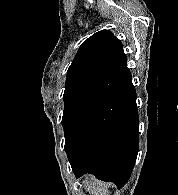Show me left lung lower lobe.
<instances>
[{
    "mask_svg": "<svg viewBox=\"0 0 178 195\" xmlns=\"http://www.w3.org/2000/svg\"><path fill=\"white\" fill-rule=\"evenodd\" d=\"M138 111L132 82L65 146L76 178L90 173L122 188L138 153Z\"/></svg>",
    "mask_w": 178,
    "mask_h": 195,
    "instance_id": "obj_1",
    "label": "left lung lower lobe"
}]
</instances>
